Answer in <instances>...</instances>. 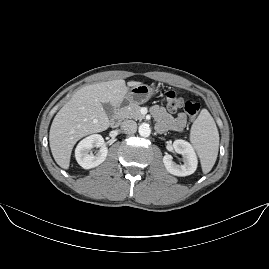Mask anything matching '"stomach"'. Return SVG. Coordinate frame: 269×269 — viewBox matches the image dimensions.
<instances>
[{"mask_svg": "<svg viewBox=\"0 0 269 269\" xmlns=\"http://www.w3.org/2000/svg\"><path fill=\"white\" fill-rule=\"evenodd\" d=\"M157 90L158 88H155L154 85L148 86L146 84H140L133 86L125 95V104H123V106H128L129 104H143L147 102Z\"/></svg>", "mask_w": 269, "mask_h": 269, "instance_id": "1", "label": "stomach"}]
</instances>
